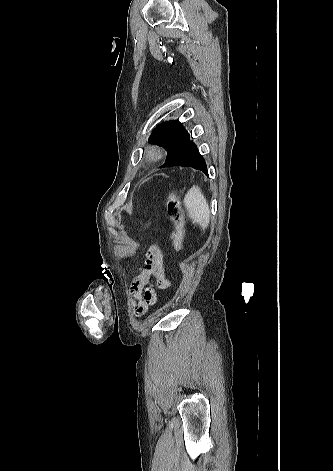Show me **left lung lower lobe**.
Masks as SVG:
<instances>
[{"label":"left lung lower lobe","mask_w":333,"mask_h":471,"mask_svg":"<svg viewBox=\"0 0 333 471\" xmlns=\"http://www.w3.org/2000/svg\"><path fill=\"white\" fill-rule=\"evenodd\" d=\"M167 165L190 166L194 169L202 171L205 175H208L206 162L199 153V150L193 141L178 151L167 163Z\"/></svg>","instance_id":"left-lung-lower-lobe-1"}]
</instances>
